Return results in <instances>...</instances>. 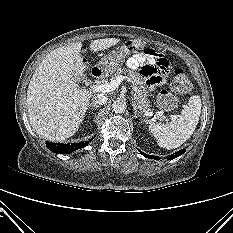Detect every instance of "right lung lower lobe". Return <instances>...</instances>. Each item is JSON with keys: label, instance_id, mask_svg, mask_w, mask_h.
<instances>
[{"label": "right lung lower lobe", "instance_id": "1", "mask_svg": "<svg viewBox=\"0 0 233 233\" xmlns=\"http://www.w3.org/2000/svg\"><path fill=\"white\" fill-rule=\"evenodd\" d=\"M89 141H92L90 139ZM89 141L87 142H79V143H67V144H61V143H52V142H47V148L54 152V153H60V154H69L77 149L85 147Z\"/></svg>", "mask_w": 233, "mask_h": 233}]
</instances>
